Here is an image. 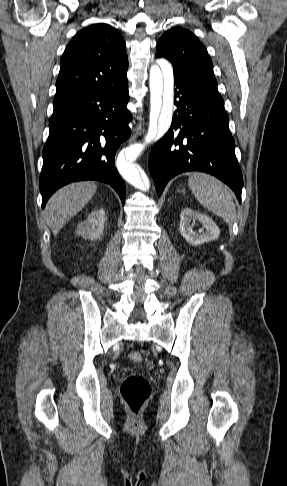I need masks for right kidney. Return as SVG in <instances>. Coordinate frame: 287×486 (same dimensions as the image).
<instances>
[{"mask_svg": "<svg viewBox=\"0 0 287 486\" xmlns=\"http://www.w3.org/2000/svg\"><path fill=\"white\" fill-rule=\"evenodd\" d=\"M105 219L103 209L92 211L88 218L77 226L76 234L85 239L97 240L103 235Z\"/></svg>", "mask_w": 287, "mask_h": 486, "instance_id": "right-kidney-1", "label": "right kidney"}]
</instances>
